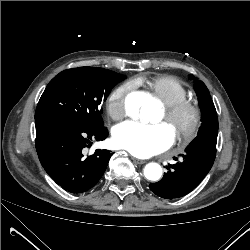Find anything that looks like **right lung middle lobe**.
<instances>
[{"mask_svg": "<svg viewBox=\"0 0 250 250\" xmlns=\"http://www.w3.org/2000/svg\"><path fill=\"white\" fill-rule=\"evenodd\" d=\"M126 76L98 67H79L56 75L43 92L35 121L47 119L103 126L102 104L111 89Z\"/></svg>", "mask_w": 250, "mask_h": 250, "instance_id": "obj_1", "label": "right lung middle lobe"}]
</instances>
